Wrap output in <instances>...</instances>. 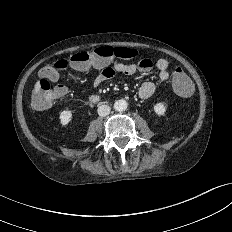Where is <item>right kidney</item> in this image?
Here are the masks:
<instances>
[{
  "label": "right kidney",
  "mask_w": 232,
  "mask_h": 232,
  "mask_svg": "<svg viewBox=\"0 0 232 232\" xmlns=\"http://www.w3.org/2000/svg\"><path fill=\"white\" fill-rule=\"evenodd\" d=\"M72 120V112L70 110H64L60 113V122L62 125H68Z\"/></svg>",
  "instance_id": "obj_1"
}]
</instances>
